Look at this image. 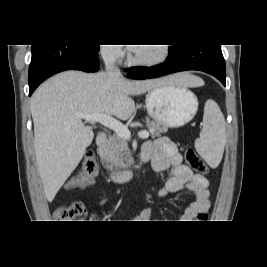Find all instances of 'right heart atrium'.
Here are the masks:
<instances>
[{
  "label": "right heart atrium",
  "mask_w": 267,
  "mask_h": 267,
  "mask_svg": "<svg viewBox=\"0 0 267 267\" xmlns=\"http://www.w3.org/2000/svg\"><path fill=\"white\" fill-rule=\"evenodd\" d=\"M102 55L105 59L116 61L121 58L123 51L119 46H102Z\"/></svg>",
  "instance_id": "right-heart-atrium-1"
}]
</instances>
